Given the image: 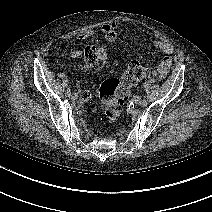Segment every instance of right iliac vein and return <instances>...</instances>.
Returning a JSON list of instances; mask_svg holds the SVG:
<instances>
[{"label": "right iliac vein", "instance_id": "obj_1", "mask_svg": "<svg viewBox=\"0 0 212 212\" xmlns=\"http://www.w3.org/2000/svg\"><path fill=\"white\" fill-rule=\"evenodd\" d=\"M77 98H78L77 94L74 93V94L71 95V99L72 100L75 101V100H77Z\"/></svg>", "mask_w": 212, "mask_h": 212}]
</instances>
